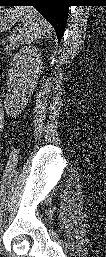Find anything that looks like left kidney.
Returning <instances> with one entry per match:
<instances>
[{
  "mask_svg": "<svg viewBox=\"0 0 106 257\" xmlns=\"http://www.w3.org/2000/svg\"><path fill=\"white\" fill-rule=\"evenodd\" d=\"M42 54L36 47H23L16 53L8 71V91L5 105L18 112L26 105L41 71Z\"/></svg>",
  "mask_w": 106,
  "mask_h": 257,
  "instance_id": "5707ae66",
  "label": "left kidney"
}]
</instances>
